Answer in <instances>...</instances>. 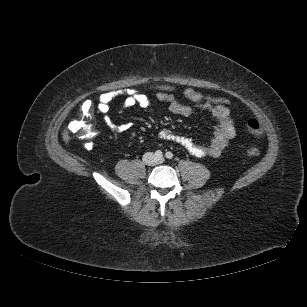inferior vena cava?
Here are the masks:
<instances>
[{"mask_svg": "<svg viewBox=\"0 0 307 307\" xmlns=\"http://www.w3.org/2000/svg\"><path fill=\"white\" fill-rule=\"evenodd\" d=\"M143 162L147 165H153L156 162V157L152 152H147L143 155Z\"/></svg>", "mask_w": 307, "mask_h": 307, "instance_id": "obj_1", "label": "inferior vena cava"}]
</instances>
